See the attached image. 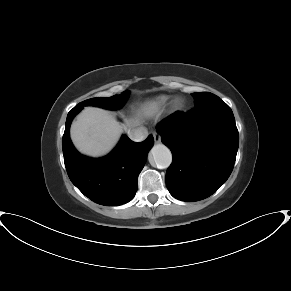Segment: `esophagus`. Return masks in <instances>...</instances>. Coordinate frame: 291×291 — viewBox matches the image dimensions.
<instances>
[{
  "instance_id": "obj_1",
  "label": "esophagus",
  "mask_w": 291,
  "mask_h": 291,
  "mask_svg": "<svg viewBox=\"0 0 291 291\" xmlns=\"http://www.w3.org/2000/svg\"><path fill=\"white\" fill-rule=\"evenodd\" d=\"M153 138H154L155 143L161 142V138L157 133H153Z\"/></svg>"
}]
</instances>
